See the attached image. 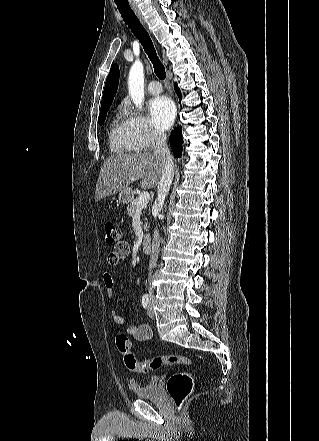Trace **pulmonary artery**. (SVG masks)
I'll return each instance as SVG.
<instances>
[{"label":"pulmonary artery","mask_w":319,"mask_h":441,"mask_svg":"<svg viewBox=\"0 0 319 441\" xmlns=\"http://www.w3.org/2000/svg\"><path fill=\"white\" fill-rule=\"evenodd\" d=\"M148 91H149V93L152 94V95H157V94L161 93V91H162V86H161V84H160L158 81H156V80L151 81V82L149 83V85H148Z\"/></svg>","instance_id":"e3ab8cb5"}]
</instances>
